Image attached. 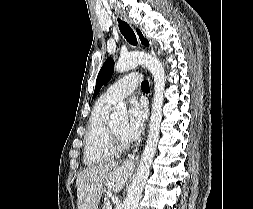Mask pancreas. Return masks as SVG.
I'll list each match as a JSON object with an SVG mask.
<instances>
[{"label": "pancreas", "mask_w": 253, "mask_h": 209, "mask_svg": "<svg viewBox=\"0 0 253 209\" xmlns=\"http://www.w3.org/2000/svg\"><path fill=\"white\" fill-rule=\"evenodd\" d=\"M109 205H110L109 198L108 197L104 198L103 208L102 209H109Z\"/></svg>", "instance_id": "cf45deb5"}]
</instances>
